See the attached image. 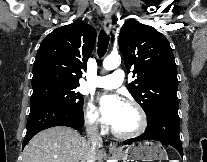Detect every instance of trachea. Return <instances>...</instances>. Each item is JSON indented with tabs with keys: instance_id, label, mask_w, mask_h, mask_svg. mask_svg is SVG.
<instances>
[{
	"instance_id": "1",
	"label": "trachea",
	"mask_w": 207,
	"mask_h": 162,
	"mask_svg": "<svg viewBox=\"0 0 207 162\" xmlns=\"http://www.w3.org/2000/svg\"><path fill=\"white\" fill-rule=\"evenodd\" d=\"M108 44H109V36L103 30H101L98 37V49H97L100 58L105 55L108 48Z\"/></svg>"
}]
</instances>
